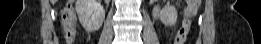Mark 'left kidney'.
<instances>
[{
	"mask_svg": "<svg viewBox=\"0 0 261 44\" xmlns=\"http://www.w3.org/2000/svg\"><path fill=\"white\" fill-rule=\"evenodd\" d=\"M178 17L174 6H166L160 11V20L165 26H172L176 23Z\"/></svg>",
	"mask_w": 261,
	"mask_h": 44,
	"instance_id": "1",
	"label": "left kidney"
}]
</instances>
